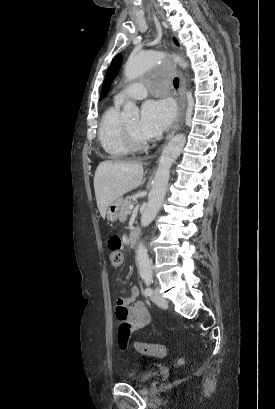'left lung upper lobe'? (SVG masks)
Wrapping results in <instances>:
<instances>
[{
  "label": "left lung upper lobe",
  "mask_w": 275,
  "mask_h": 409,
  "mask_svg": "<svg viewBox=\"0 0 275 409\" xmlns=\"http://www.w3.org/2000/svg\"><path fill=\"white\" fill-rule=\"evenodd\" d=\"M174 41L175 43H177L176 39H174ZM122 59L123 58H122L121 53H119L113 58L111 65L107 70L105 80L102 85L100 100H102L106 96L107 92L109 91L112 81L118 75L119 68L121 67Z\"/></svg>",
  "instance_id": "left-lung-upper-lobe-1"
}]
</instances>
